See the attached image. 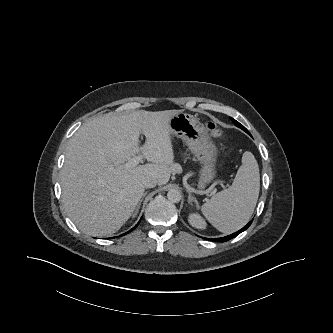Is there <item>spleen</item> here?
<instances>
[{"instance_id":"1","label":"spleen","mask_w":333,"mask_h":333,"mask_svg":"<svg viewBox=\"0 0 333 333\" xmlns=\"http://www.w3.org/2000/svg\"><path fill=\"white\" fill-rule=\"evenodd\" d=\"M260 190V174L254 155L246 151L242 156L232 185L204 203L201 211L219 231L229 234L242 228L251 218Z\"/></svg>"}]
</instances>
